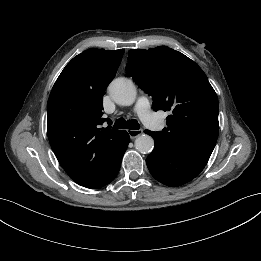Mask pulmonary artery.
Masks as SVG:
<instances>
[{
    "label": "pulmonary artery",
    "mask_w": 261,
    "mask_h": 261,
    "mask_svg": "<svg viewBox=\"0 0 261 261\" xmlns=\"http://www.w3.org/2000/svg\"><path fill=\"white\" fill-rule=\"evenodd\" d=\"M134 111L146 126L153 128L157 125V118L151 110L148 97L140 96L136 101Z\"/></svg>",
    "instance_id": "pulmonary-artery-1"
}]
</instances>
